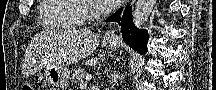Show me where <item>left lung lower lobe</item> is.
<instances>
[{
	"label": "left lung lower lobe",
	"mask_w": 216,
	"mask_h": 90,
	"mask_svg": "<svg viewBox=\"0 0 216 90\" xmlns=\"http://www.w3.org/2000/svg\"><path fill=\"white\" fill-rule=\"evenodd\" d=\"M122 9L118 10L113 16L109 17L107 21H117L121 25L122 36L124 41L135 51L144 53L147 51L148 34L145 30H138L132 19V11L127 7L120 18Z\"/></svg>",
	"instance_id": "obj_1"
}]
</instances>
